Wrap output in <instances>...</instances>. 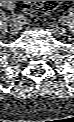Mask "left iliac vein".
Masks as SVG:
<instances>
[{
    "instance_id": "4c4485c4",
    "label": "left iliac vein",
    "mask_w": 74,
    "mask_h": 122,
    "mask_svg": "<svg viewBox=\"0 0 74 122\" xmlns=\"http://www.w3.org/2000/svg\"><path fill=\"white\" fill-rule=\"evenodd\" d=\"M60 21L62 24H66L68 23V18L66 16H62ZM53 30L57 36H66L67 34V30L63 27L55 26Z\"/></svg>"
}]
</instances>
